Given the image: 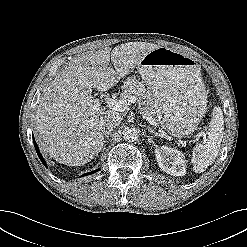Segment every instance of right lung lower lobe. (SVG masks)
<instances>
[{"label":"right lung lower lobe","instance_id":"right-lung-lower-lobe-1","mask_svg":"<svg viewBox=\"0 0 247 247\" xmlns=\"http://www.w3.org/2000/svg\"><path fill=\"white\" fill-rule=\"evenodd\" d=\"M33 142H34V146H35L36 152H37V154H38V157L40 158L41 162L46 166L45 160L43 159V157H42V155H41V153H40V151H39V148H38L37 143L35 142V140H34ZM98 170H99V169H98ZM98 170L91 171V172L86 173V174H84V175H82V176H87V175L94 174V173L97 172Z\"/></svg>","mask_w":247,"mask_h":247}]
</instances>
